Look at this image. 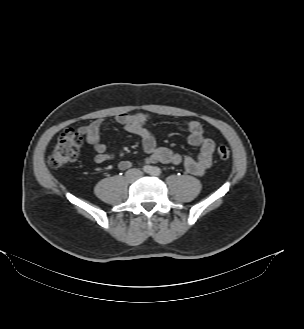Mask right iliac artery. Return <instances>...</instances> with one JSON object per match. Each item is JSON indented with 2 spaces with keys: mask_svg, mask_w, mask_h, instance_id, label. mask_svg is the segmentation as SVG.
Wrapping results in <instances>:
<instances>
[{
  "mask_svg": "<svg viewBox=\"0 0 304 329\" xmlns=\"http://www.w3.org/2000/svg\"><path fill=\"white\" fill-rule=\"evenodd\" d=\"M143 171L146 172V173H152L153 168L149 165H146V166L143 167Z\"/></svg>",
  "mask_w": 304,
  "mask_h": 329,
  "instance_id": "right-iliac-artery-1",
  "label": "right iliac artery"
}]
</instances>
